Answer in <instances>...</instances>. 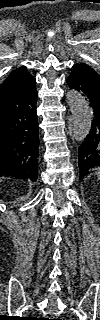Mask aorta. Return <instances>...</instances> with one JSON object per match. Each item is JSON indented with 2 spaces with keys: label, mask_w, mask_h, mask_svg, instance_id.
<instances>
[{
  "label": "aorta",
  "mask_w": 100,
  "mask_h": 320,
  "mask_svg": "<svg viewBox=\"0 0 100 320\" xmlns=\"http://www.w3.org/2000/svg\"><path fill=\"white\" fill-rule=\"evenodd\" d=\"M66 97L73 116V138L82 142L91 128L92 111L85 98L78 91L70 90Z\"/></svg>",
  "instance_id": "1"
}]
</instances>
